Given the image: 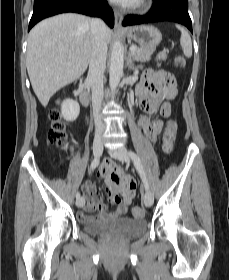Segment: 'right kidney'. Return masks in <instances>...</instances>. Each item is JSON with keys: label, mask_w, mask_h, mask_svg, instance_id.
Listing matches in <instances>:
<instances>
[{"label": "right kidney", "mask_w": 229, "mask_h": 280, "mask_svg": "<svg viewBox=\"0 0 229 280\" xmlns=\"http://www.w3.org/2000/svg\"><path fill=\"white\" fill-rule=\"evenodd\" d=\"M80 106L79 104L72 100L66 99L62 103L61 114L66 121H74L79 116Z\"/></svg>", "instance_id": "ca27d5eb"}]
</instances>
